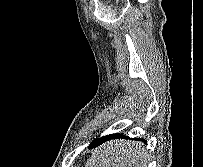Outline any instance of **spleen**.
<instances>
[{"label":"spleen","mask_w":203,"mask_h":167,"mask_svg":"<svg viewBox=\"0 0 203 167\" xmlns=\"http://www.w3.org/2000/svg\"><path fill=\"white\" fill-rule=\"evenodd\" d=\"M147 156L142 152L133 153L128 150H115L104 148L101 152L93 155L86 164V167H145ZM141 161V163H139Z\"/></svg>","instance_id":"obj_1"}]
</instances>
